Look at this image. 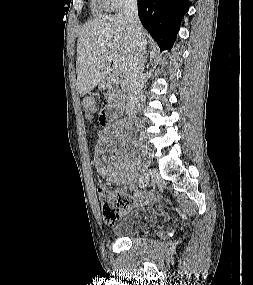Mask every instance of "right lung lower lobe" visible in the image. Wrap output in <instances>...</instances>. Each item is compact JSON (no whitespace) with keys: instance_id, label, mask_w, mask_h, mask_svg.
I'll return each instance as SVG.
<instances>
[{"instance_id":"1","label":"right lung lower lobe","mask_w":253,"mask_h":285,"mask_svg":"<svg viewBox=\"0 0 253 285\" xmlns=\"http://www.w3.org/2000/svg\"><path fill=\"white\" fill-rule=\"evenodd\" d=\"M189 0H138V15L160 50L170 49L176 39Z\"/></svg>"}]
</instances>
